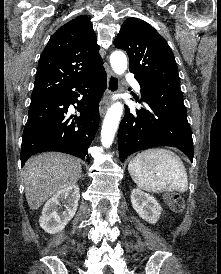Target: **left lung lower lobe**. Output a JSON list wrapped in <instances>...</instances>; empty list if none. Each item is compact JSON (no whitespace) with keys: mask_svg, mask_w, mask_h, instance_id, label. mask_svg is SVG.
Returning a JSON list of instances; mask_svg holds the SVG:
<instances>
[{"mask_svg":"<svg viewBox=\"0 0 221 274\" xmlns=\"http://www.w3.org/2000/svg\"><path fill=\"white\" fill-rule=\"evenodd\" d=\"M141 87L146 107L130 109L125 105V116L118 131V149L123 162L134 152L156 146H173L192 161L194 156L192 132L187 121L183 96L162 93L135 76Z\"/></svg>","mask_w":221,"mask_h":274,"instance_id":"obj_1","label":"left lung lower lobe"}]
</instances>
